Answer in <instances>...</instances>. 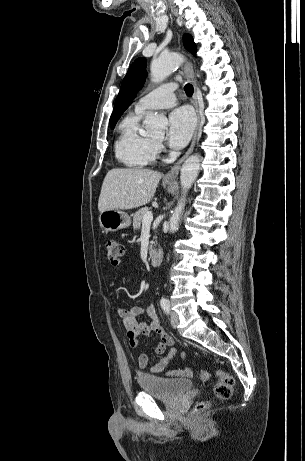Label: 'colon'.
Masks as SVG:
<instances>
[{
    "mask_svg": "<svg viewBox=\"0 0 305 461\" xmlns=\"http://www.w3.org/2000/svg\"><path fill=\"white\" fill-rule=\"evenodd\" d=\"M104 249L106 252L107 259L112 265L117 264L124 255L123 245L114 239H108L104 243ZM218 382L213 387V399L215 400H226L229 399L234 387V378L229 373L219 370L216 373ZM199 378L202 381H206L209 378L207 370L202 369L199 372ZM211 404V401H201L195 408L194 413H198L206 409Z\"/></svg>",
    "mask_w": 305,
    "mask_h": 461,
    "instance_id": "colon-1",
    "label": "colon"
}]
</instances>
